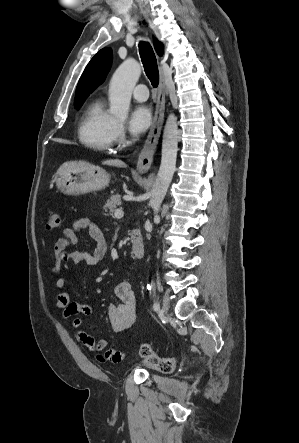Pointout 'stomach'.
<instances>
[{"label":"stomach","instance_id":"0dacf381","mask_svg":"<svg viewBox=\"0 0 299 443\" xmlns=\"http://www.w3.org/2000/svg\"><path fill=\"white\" fill-rule=\"evenodd\" d=\"M55 182L62 193L80 195L105 189L110 176L98 166L85 162H68L58 169Z\"/></svg>","mask_w":299,"mask_h":443}]
</instances>
